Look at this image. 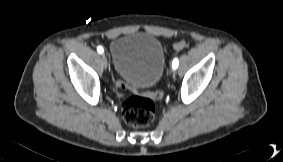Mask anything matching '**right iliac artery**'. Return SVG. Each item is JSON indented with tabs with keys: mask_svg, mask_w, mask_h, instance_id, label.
Returning a JSON list of instances; mask_svg holds the SVG:
<instances>
[{
	"mask_svg": "<svg viewBox=\"0 0 283 162\" xmlns=\"http://www.w3.org/2000/svg\"><path fill=\"white\" fill-rule=\"evenodd\" d=\"M97 51H98V53H103V51H104V49H103V47L102 46H98L97 47Z\"/></svg>",
	"mask_w": 283,
	"mask_h": 162,
	"instance_id": "right-iliac-artery-1",
	"label": "right iliac artery"
}]
</instances>
